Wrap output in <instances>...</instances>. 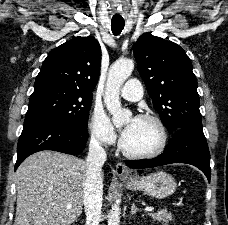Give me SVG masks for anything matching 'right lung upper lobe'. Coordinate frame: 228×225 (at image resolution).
Wrapping results in <instances>:
<instances>
[{"label":"right lung upper lobe","mask_w":228,"mask_h":225,"mask_svg":"<svg viewBox=\"0 0 228 225\" xmlns=\"http://www.w3.org/2000/svg\"><path fill=\"white\" fill-rule=\"evenodd\" d=\"M101 48L93 37H75L46 57L35 85L58 83L92 93L100 73Z\"/></svg>","instance_id":"cb5924a9"}]
</instances>
